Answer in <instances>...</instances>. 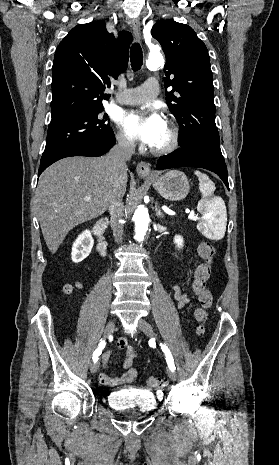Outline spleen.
Listing matches in <instances>:
<instances>
[{
    "instance_id": "spleen-1",
    "label": "spleen",
    "mask_w": 279,
    "mask_h": 465,
    "mask_svg": "<svg viewBox=\"0 0 279 465\" xmlns=\"http://www.w3.org/2000/svg\"><path fill=\"white\" fill-rule=\"evenodd\" d=\"M195 175L199 179V191L202 194L197 210L203 215L197 228L205 236L220 240L225 235L227 225L225 203L221 197H212L216 187L206 174L195 171Z\"/></svg>"
}]
</instances>
